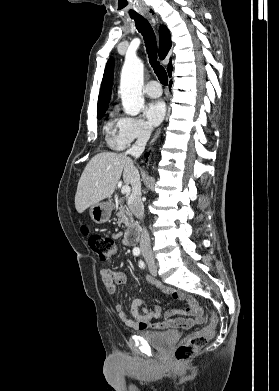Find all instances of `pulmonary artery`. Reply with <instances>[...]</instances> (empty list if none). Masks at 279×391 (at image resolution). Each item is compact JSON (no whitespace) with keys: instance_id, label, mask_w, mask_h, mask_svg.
Here are the masks:
<instances>
[{"instance_id":"pulmonary-artery-1","label":"pulmonary artery","mask_w":279,"mask_h":391,"mask_svg":"<svg viewBox=\"0 0 279 391\" xmlns=\"http://www.w3.org/2000/svg\"><path fill=\"white\" fill-rule=\"evenodd\" d=\"M144 93L150 97L156 98L162 94V89L158 82L150 81L146 84L144 88Z\"/></svg>"}]
</instances>
